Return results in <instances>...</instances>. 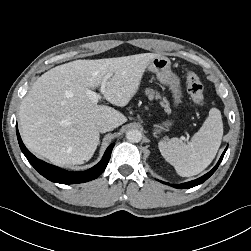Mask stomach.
<instances>
[{"label": "stomach", "instance_id": "0dacf381", "mask_svg": "<svg viewBox=\"0 0 251 251\" xmlns=\"http://www.w3.org/2000/svg\"><path fill=\"white\" fill-rule=\"evenodd\" d=\"M148 70L155 73L158 80L169 87L172 92L175 106L182 103V90L179 76L171 70V61L169 58L159 55L155 57L148 65ZM173 124L172 121L163 122L155 125L154 134H160L163 130L168 129Z\"/></svg>", "mask_w": 251, "mask_h": 251}]
</instances>
